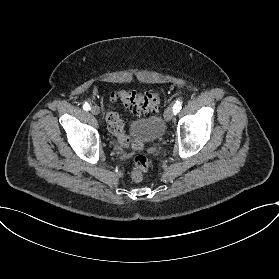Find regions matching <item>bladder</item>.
Segmentation results:
<instances>
[{
	"label": "bladder",
	"instance_id": "31cf9c89",
	"mask_svg": "<svg viewBox=\"0 0 279 279\" xmlns=\"http://www.w3.org/2000/svg\"><path fill=\"white\" fill-rule=\"evenodd\" d=\"M127 129L133 139L151 144L161 140L167 126L165 120L155 116L134 119Z\"/></svg>",
	"mask_w": 279,
	"mask_h": 279
}]
</instances>
